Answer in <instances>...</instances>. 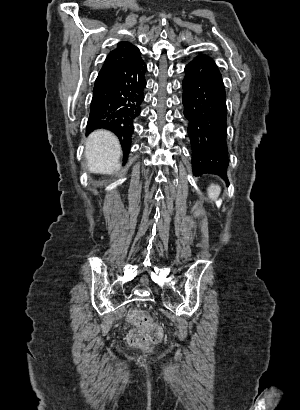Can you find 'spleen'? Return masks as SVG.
Here are the masks:
<instances>
[{
  "label": "spleen",
  "mask_w": 300,
  "mask_h": 410,
  "mask_svg": "<svg viewBox=\"0 0 300 410\" xmlns=\"http://www.w3.org/2000/svg\"><path fill=\"white\" fill-rule=\"evenodd\" d=\"M221 191V188L218 185H214L212 184L209 188H208V196L209 198L213 199L219 196Z\"/></svg>",
  "instance_id": "1"
}]
</instances>
